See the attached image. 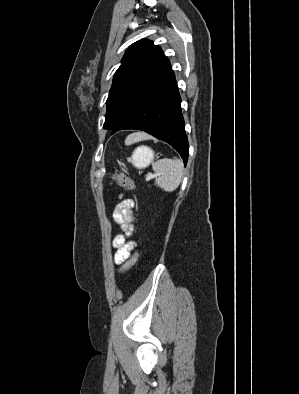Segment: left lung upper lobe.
I'll list each match as a JSON object with an SVG mask.
<instances>
[{
	"mask_svg": "<svg viewBox=\"0 0 299 394\" xmlns=\"http://www.w3.org/2000/svg\"><path fill=\"white\" fill-rule=\"evenodd\" d=\"M114 74L106 101L105 129H113L135 101L163 72L170 67L168 58L152 41L132 44Z\"/></svg>",
	"mask_w": 299,
	"mask_h": 394,
	"instance_id": "left-lung-upper-lobe-1",
	"label": "left lung upper lobe"
}]
</instances>
